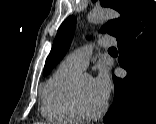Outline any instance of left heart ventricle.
<instances>
[{"instance_id": "left-heart-ventricle-1", "label": "left heart ventricle", "mask_w": 156, "mask_h": 124, "mask_svg": "<svg viewBox=\"0 0 156 124\" xmlns=\"http://www.w3.org/2000/svg\"><path fill=\"white\" fill-rule=\"evenodd\" d=\"M80 99L83 108L91 113L100 109L105 102L97 93L93 80L89 76H84L81 80Z\"/></svg>"}]
</instances>
